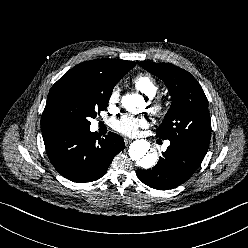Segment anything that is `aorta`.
I'll list each match as a JSON object with an SVG mask.
<instances>
[{
	"label": "aorta",
	"mask_w": 248,
	"mask_h": 248,
	"mask_svg": "<svg viewBox=\"0 0 248 248\" xmlns=\"http://www.w3.org/2000/svg\"><path fill=\"white\" fill-rule=\"evenodd\" d=\"M123 107L131 112L138 113L143 109L144 99L139 94H126L122 98ZM150 150V143L147 140L140 139L133 141L129 147V156L133 161L144 168H152L158 160V154L155 151Z\"/></svg>",
	"instance_id": "aorta-1"
}]
</instances>
